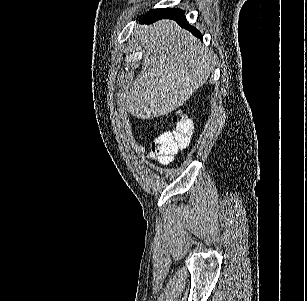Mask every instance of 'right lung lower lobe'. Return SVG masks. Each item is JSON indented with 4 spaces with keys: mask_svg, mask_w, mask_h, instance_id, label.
Listing matches in <instances>:
<instances>
[{
    "mask_svg": "<svg viewBox=\"0 0 307 301\" xmlns=\"http://www.w3.org/2000/svg\"><path fill=\"white\" fill-rule=\"evenodd\" d=\"M163 18L173 19L178 22L181 27L187 28L195 36L201 38L200 32L193 26H190L186 21V18L181 9L174 8H164V9H153L147 12L143 18L140 20V23L150 24L155 21H158Z\"/></svg>",
    "mask_w": 307,
    "mask_h": 301,
    "instance_id": "obj_1",
    "label": "right lung lower lobe"
}]
</instances>
